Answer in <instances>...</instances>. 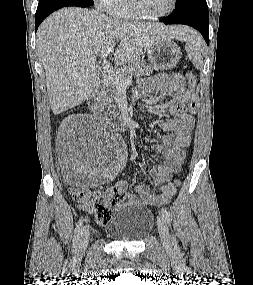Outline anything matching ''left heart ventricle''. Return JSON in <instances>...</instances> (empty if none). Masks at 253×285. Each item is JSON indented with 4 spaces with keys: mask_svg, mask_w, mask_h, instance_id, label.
I'll return each instance as SVG.
<instances>
[{
    "mask_svg": "<svg viewBox=\"0 0 253 285\" xmlns=\"http://www.w3.org/2000/svg\"><path fill=\"white\" fill-rule=\"evenodd\" d=\"M143 12L150 15H158L166 12L172 4V0H139Z\"/></svg>",
    "mask_w": 253,
    "mask_h": 285,
    "instance_id": "left-heart-ventricle-1",
    "label": "left heart ventricle"
}]
</instances>
